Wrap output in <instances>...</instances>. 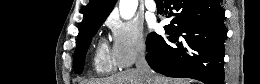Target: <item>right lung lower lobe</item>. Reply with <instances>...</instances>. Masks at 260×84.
<instances>
[{"label":"right lung lower lobe","mask_w":260,"mask_h":84,"mask_svg":"<svg viewBox=\"0 0 260 84\" xmlns=\"http://www.w3.org/2000/svg\"><path fill=\"white\" fill-rule=\"evenodd\" d=\"M175 16L168 36L152 32L147 39L150 67L169 77H188L205 84L224 82V10L219 0H164ZM172 10L178 13H173Z\"/></svg>","instance_id":"1"}]
</instances>
